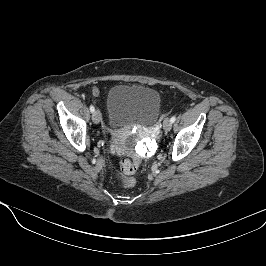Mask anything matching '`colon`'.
<instances>
[{"mask_svg": "<svg viewBox=\"0 0 266 266\" xmlns=\"http://www.w3.org/2000/svg\"><path fill=\"white\" fill-rule=\"evenodd\" d=\"M140 164V156L134 155L132 157H124L119 163V169L116 174V179L123 187H133L136 184V180L133 178V174L137 170Z\"/></svg>", "mask_w": 266, "mask_h": 266, "instance_id": "5ec220e1", "label": "colon"}]
</instances>
